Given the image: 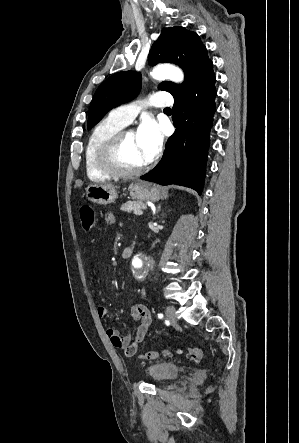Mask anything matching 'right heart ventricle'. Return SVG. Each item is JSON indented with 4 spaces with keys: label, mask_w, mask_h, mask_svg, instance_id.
I'll return each mask as SVG.
<instances>
[{
    "label": "right heart ventricle",
    "mask_w": 299,
    "mask_h": 443,
    "mask_svg": "<svg viewBox=\"0 0 299 443\" xmlns=\"http://www.w3.org/2000/svg\"><path fill=\"white\" fill-rule=\"evenodd\" d=\"M125 126L109 115L91 131L86 143L84 159L87 177L92 182H104L111 178L99 165V152L102 145Z\"/></svg>",
    "instance_id": "obj_1"
}]
</instances>
